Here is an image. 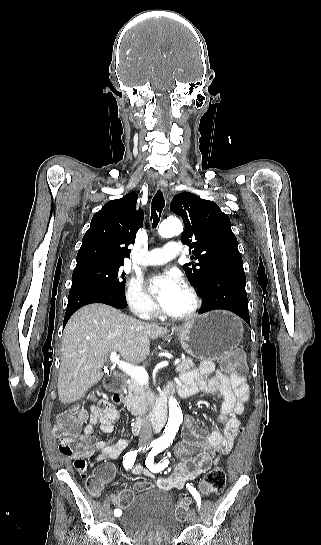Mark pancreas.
I'll return each mask as SVG.
<instances>
[{
  "label": "pancreas",
  "mask_w": 321,
  "mask_h": 545,
  "mask_svg": "<svg viewBox=\"0 0 321 545\" xmlns=\"http://www.w3.org/2000/svg\"><path fill=\"white\" fill-rule=\"evenodd\" d=\"M192 367H195V363L190 357H187L177 365L175 371L181 375V373H188ZM128 381L130 383H128V395L125 397L126 407L128 411H131L132 415L141 417V415H145L149 411L148 407L153 397L151 389H149V385H140L135 379H128Z\"/></svg>",
  "instance_id": "obj_1"
}]
</instances>
